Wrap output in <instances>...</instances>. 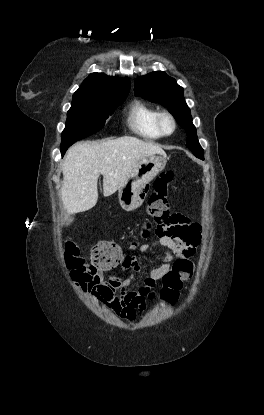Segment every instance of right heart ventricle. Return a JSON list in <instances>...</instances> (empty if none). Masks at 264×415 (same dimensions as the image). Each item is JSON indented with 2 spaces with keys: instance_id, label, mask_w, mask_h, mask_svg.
<instances>
[{
  "instance_id": "obj_1",
  "label": "right heart ventricle",
  "mask_w": 264,
  "mask_h": 415,
  "mask_svg": "<svg viewBox=\"0 0 264 415\" xmlns=\"http://www.w3.org/2000/svg\"><path fill=\"white\" fill-rule=\"evenodd\" d=\"M159 111L153 106L135 101L127 112L126 122L129 129L138 137L145 140H155L162 135L156 126V117Z\"/></svg>"
}]
</instances>
